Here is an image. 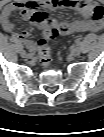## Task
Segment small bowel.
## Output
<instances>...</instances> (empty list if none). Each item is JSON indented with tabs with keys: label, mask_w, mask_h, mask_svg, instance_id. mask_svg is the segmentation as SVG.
I'll list each match as a JSON object with an SVG mask.
<instances>
[{
	"label": "small bowel",
	"mask_w": 104,
	"mask_h": 137,
	"mask_svg": "<svg viewBox=\"0 0 104 137\" xmlns=\"http://www.w3.org/2000/svg\"><path fill=\"white\" fill-rule=\"evenodd\" d=\"M39 8L46 10H55L67 8L74 10L79 15L86 18L73 22L71 24H60L57 21L49 22V25H55L59 33L62 35H70L78 32L97 31L101 28L104 15L103 8L93 0H28L16 1L7 4L1 14V25L6 32H12L14 22L12 15L20 12L23 20L33 22L32 16ZM35 23V22H34ZM48 24H39L41 30H44ZM29 31L24 30L16 34V38L24 42L29 48H33V44L28 40Z\"/></svg>",
	"instance_id": "1"
}]
</instances>
